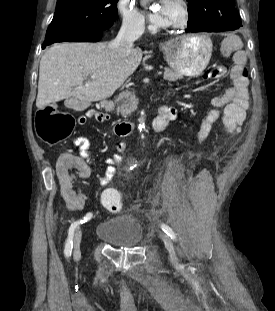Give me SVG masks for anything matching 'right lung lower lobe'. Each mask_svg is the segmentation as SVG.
Masks as SVG:
<instances>
[{"instance_id":"1","label":"right lung lower lobe","mask_w":275,"mask_h":311,"mask_svg":"<svg viewBox=\"0 0 275 311\" xmlns=\"http://www.w3.org/2000/svg\"><path fill=\"white\" fill-rule=\"evenodd\" d=\"M105 30H102L100 28H92L87 29L79 32H75L69 35H66L61 38L52 39V40H46L44 41V44L42 48L44 49L46 46L57 43V42H97L102 38L103 33Z\"/></svg>"}]
</instances>
